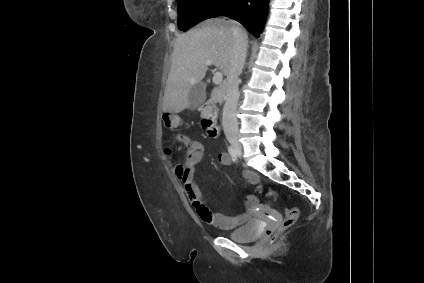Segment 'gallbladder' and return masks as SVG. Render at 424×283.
Returning a JSON list of instances; mask_svg holds the SVG:
<instances>
[{"label": "gallbladder", "instance_id": "1", "mask_svg": "<svg viewBox=\"0 0 424 283\" xmlns=\"http://www.w3.org/2000/svg\"><path fill=\"white\" fill-rule=\"evenodd\" d=\"M189 100L191 102H197V104H191L190 109L193 110L199 106V101L205 97V88L204 85L199 83L196 86L192 87L189 92Z\"/></svg>", "mask_w": 424, "mask_h": 283}]
</instances>
